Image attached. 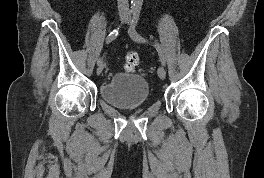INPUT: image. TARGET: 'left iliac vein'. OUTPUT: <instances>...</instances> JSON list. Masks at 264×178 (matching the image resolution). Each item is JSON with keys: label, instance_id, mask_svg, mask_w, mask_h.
<instances>
[{"label": "left iliac vein", "instance_id": "1", "mask_svg": "<svg viewBox=\"0 0 264 178\" xmlns=\"http://www.w3.org/2000/svg\"><path fill=\"white\" fill-rule=\"evenodd\" d=\"M131 22V19L129 17H127L125 19V23L129 24ZM158 76L160 79H165L166 77V71L164 69V67L160 66L157 70Z\"/></svg>", "mask_w": 264, "mask_h": 178}]
</instances>
